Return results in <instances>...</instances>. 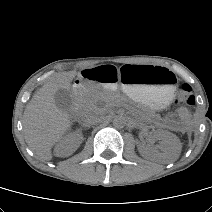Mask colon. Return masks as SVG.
Returning a JSON list of instances; mask_svg holds the SVG:
<instances>
[{"instance_id":"colon-1","label":"colon","mask_w":212,"mask_h":212,"mask_svg":"<svg viewBox=\"0 0 212 212\" xmlns=\"http://www.w3.org/2000/svg\"><path fill=\"white\" fill-rule=\"evenodd\" d=\"M175 104L180 108L181 116L188 120L196 104L195 95L189 84L183 83L178 86Z\"/></svg>"}]
</instances>
